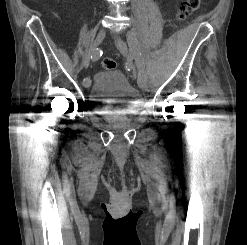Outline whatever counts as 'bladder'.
<instances>
[{
  "mask_svg": "<svg viewBox=\"0 0 247 245\" xmlns=\"http://www.w3.org/2000/svg\"><path fill=\"white\" fill-rule=\"evenodd\" d=\"M88 100L102 113H130L139 108L141 95L123 72L112 69L97 73Z\"/></svg>",
  "mask_w": 247,
  "mask_h": 245,
  "instance_id": "31cf9c89",
  "label": "bladder"
}]
</instances>
